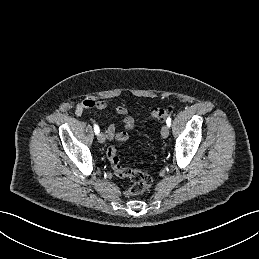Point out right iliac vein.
<instances>
[{
	"label": "right iliac vein",
	"mask_w": 259,
	"mask_h": 259,
	"mask_svg": "<svg viewBox=\"0 0 259 259\" xmlns=\"http://www.w3.org/2000/svg\"><path fill=\"white\" fill-rule=\"evenodd\" d=\"M97 139L100 143H104L105 142V136L104 134L101 132L97 135Z\"/></svg>",
	"instance_id": "right-iliac-vein-1"
}]
</instances>
